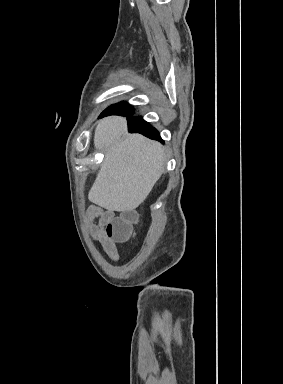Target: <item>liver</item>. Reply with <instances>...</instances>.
Returning <instances> with one entry per match:
<instances>
[{
  "mask_svg": "<svg viewBox=\"0 0 283 384\" xmlns=\"http://www.w3.org/2000/svg\"><path fill=\"white\" fill-rule=\"evenodd\" d=\"M94 146L105 158L88 200L108 212H134L164 172L165 150L140 134H127L126 118L99 120Z\"/></svg>",
  "mask_w": 283,
  "mask_h": 384,
  "instance_id": "liver-1",
  "label": "liver"
}]
</instances>
